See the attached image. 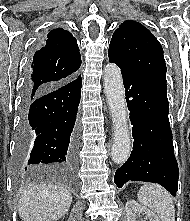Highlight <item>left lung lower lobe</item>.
I'll list each match as a JSON object with an SVG mask.
<instances>
[{"label": "left lung lower lobe", "mask_w": 190, "mask_h": 221, "mask_svg": "<svg viewBox=\"0 0 190 221\" xmlns=\"http://www.w3.org/2000/svg\"><path fill=\"white\" fill-rule=\"evenodd\" d=\"M134 138L128 160L117 169L114 182H154L176 196L179 170L174 155L167 84L153 77L121 71Z\"/></svg>", "instance_id": "1"}]
</instances>
